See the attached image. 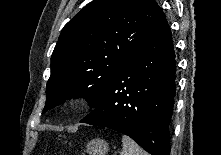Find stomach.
Instances as JSON below:
<instances>
[{
    "label": "stomach",
    "mask_w": 221,
    "mask_h": 155,
    "mask_svg": "<svg viewBox=\"0 0 221 155\" xmlns=\"http://www.w3.org/2000/svg\"><path fill=\"white\" fill-rule=\"evenodd\" d=\"M108 150V143L101 139H93L86 145L88 155H107Z\"/></svg>",
    "instance_id": "obj_1"
}]
</instances>
